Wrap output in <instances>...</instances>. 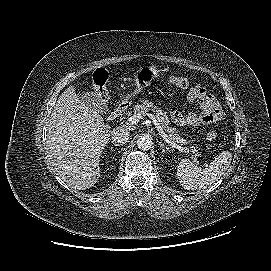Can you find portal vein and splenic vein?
Listing matches in <instances>:
<instances>
[{"label":"portal vein and splenic vein","mask_w":271,"mask_h":271,"mask_svg":"<svg viewBox=\"0 0 271 271\" xmlns=\"http://www.w3.org/2000/svg\"><path fill=\"white\" fill-rule=\"evenodd\" d=\"M146 115L153 121V123H154V125L156 126L157 130L159 131L161 137H162L169 145H171L172 147H174V148H176V149H178V150H180V151H182V152H186V153L189 152L188 149H186V148H184V147H182V146L176 144L174 141H172V140L170 139V137H169L168 135H166V133L163 131V129H162L160 123H158L157 119L155 118V116H154L153 114H149V113H148V114H146ZM140 119H142V114H135V115H133L132 117H130V118L127 119V124L135 125V124H137V123L140 121Z\"/></svg>","instance_id":"18ae733b"}]
</instances>
